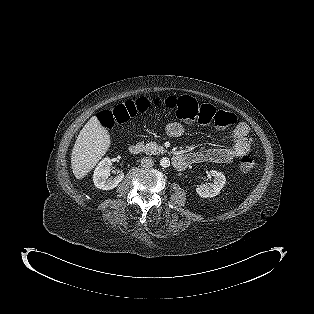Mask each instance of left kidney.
I'll return each mask as SVG.
<instances>
[{
    "label": "left kidney",
    "instance_id": "1",
    "mask_svg": "<svg viewBox=\"0 0 314 314\" xmlns=\"http://www.w3.org/2000/svg\"><path fill=\"white\" fill-rule=\"evenodd\" d=\"M210 173L214 177V183L210 184L209 186L207 185L197 186L196 188L197 194L202 198L208 197L212 198L217 196L220 193L221 189L224 187L226 182V178L221 172L211 170Z\"/></svg>",
    "mask_w": 314,
    "mask_h": 314
}]
</instances>
